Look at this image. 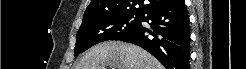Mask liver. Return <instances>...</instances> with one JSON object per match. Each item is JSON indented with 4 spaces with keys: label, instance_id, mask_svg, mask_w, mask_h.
<instances>
[{
    "label": "liver",
    "instance_id": "liver-1",
    "mask_svg": "<svg viewBox=\"0 0 246 69\" xmlns=\"http://www.w3.org/2000/svg\"><path fill=\"white\" fill-rule=\"evenodd\" d=\"M163 69L144 49L120 41L104 42L89 49L76 69Z\"/></svg>",
    "mask_w": 246,
    "mask_h": 69
}]
</instances>
